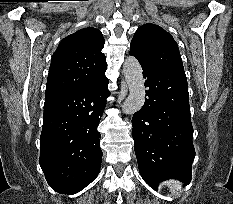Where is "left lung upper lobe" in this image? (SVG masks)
Segmentation results:
<instances>
[{
    "mask_svg": "<svg viewBox=\"0 0 233 204\" xmlns=\"http://www.w3.org/2000/svg\"><path fill=\"white\" fill-rule=\"evenodd\" d=\"M130 55L139 61L185 75L175 40L158 25L149 23L138 28L131 41Z\"/></svg>",
    "mask_w": 233,
    "mask_h": 204,
    "instance_id": "obj_1",
    "label": "left lung upper lobe"
}]
</instances>
